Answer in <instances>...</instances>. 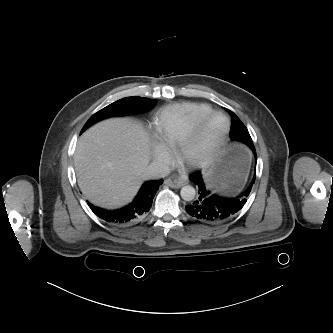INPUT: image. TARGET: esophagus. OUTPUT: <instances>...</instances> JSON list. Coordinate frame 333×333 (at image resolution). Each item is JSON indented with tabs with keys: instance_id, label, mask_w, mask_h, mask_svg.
<instances>
[{
	"instance_id": "obj_1",
	"label": "esophagus",
	"mask_w": 333,
	"mask_h": 333,
	"mask_svg": "<svg viewBox=\"0 0 333 333\" xmlns=\"http://www.w3.org/2000/svg\"><path fill=\"white\" fill-rule=\"evenodd\" d=\"M164 183L171 188H180L186 183V180L180 177H173L166 179Z\"/></svg>"
}]
</instances>
